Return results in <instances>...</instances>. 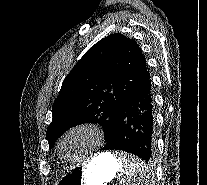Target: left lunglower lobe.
I'll return each mask as SVG.
<instances>
[{
	"instance_id": "left-lung-lower-lobe-1",
	"label": "left lung lower lobe",
	"mask_w": 207,
	"mask_h": 185,
	"mask_svg": "<svg viewBox=\"0 0 207 185\" xmlns=\"http://www.w3.org/2000/svg\"><path fill=\"white\" fill-rule=\"evenodd\" d=\"M149 78L119 109L102 150H122L149 161L154 153V121Z\"/></svg>"
}]
</instances>
